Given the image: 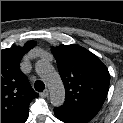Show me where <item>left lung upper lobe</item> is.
Returning <instances> with one entry per match:
<instances>
[{
    "label": "left lung upper lobe",
    "mask_w": 123,
    "mask_h": 123,
    "mask_svg": "<svg viewBox=\"0 0 123 123\" xmlns=\"http://www.w3.org/2000/svg\"><path fill=\"white\" fill-rule=\"evenodd\" d=\"M66 89L65 102L56 107V116L71 123H87L103 105L110 84V74L100 59L78 45L52 48Z\"/></svg>",
    "instance_id": "5c2ea615"
}]
</instances>
